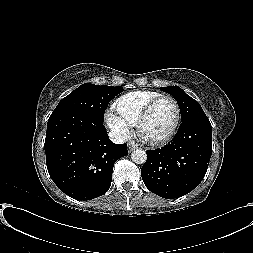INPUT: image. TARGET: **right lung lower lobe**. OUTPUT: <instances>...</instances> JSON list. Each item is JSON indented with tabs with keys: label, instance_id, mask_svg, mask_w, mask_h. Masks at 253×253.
Returning <instances> with one entry per match:
<instances>
[{
	"label": "right lung lower lobe",
	"instance_id": "98d812e1",
	"mask_svg": "<svg viewBox=\"0 0 253 253\" xmlns=\"http://www.w3.org/2000/svg\"><path fill=\"white\" fill-rule=\"evenodd\" d=\"M46 164L58 188L78 200L106 193L114 163L128 154L110 141L103 120L80 111L52 114L45 139Z\"/></svg>",
	"mask_w": 253,
	"mask_h": 253
}]
</instances>
